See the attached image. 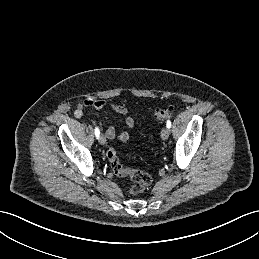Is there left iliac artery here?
<instances>
[{
    "label": "left iliac artery",
    "mask_w": 259,
    "mask_h": 259,
    "mask_svg": "<svg viewBox=\"0 0 259 259\" xmlns=\"http://www.w3.org/2000/svg\"><path fill=\"white\" fill-rule=\"evenodd\" d=\"M166 127H167L168 129H170V128H171V121H170V120H168V121H167V123H166Z\"/></svg>",
    "instance_id": "left-iliac-artery-1"
}]
</instances>
